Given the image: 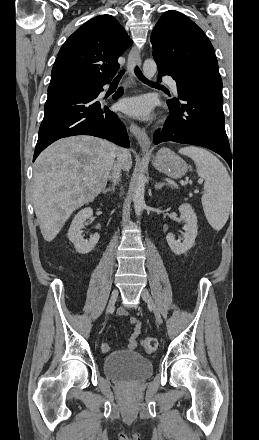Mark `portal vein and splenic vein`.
<instances>
[{"label": "portal vein and splenic vein", "instance_id": "portal-vein-and-splenic-vein-1", "mask_svg": "<svg viewBox=\"0 0 259 440\" xmlns=\"http://www.w3.org/2000/svg\"><path fill=\"white\" fill-rule=\"evenodd\" d=\"M198 182H199V183H202V180H199Z\"/></svg>", "mask_w": 259, "mask_h": 440}]
</instances>
